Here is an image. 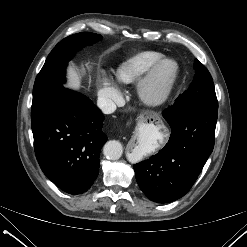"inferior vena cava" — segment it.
I'll return each instance as SVG.
<instances>
[{"label":"inferior vena cava","mask_w":247,"mask_h":247,"mask_svg":"<svg viewBox=\"0 0 247 247\" xmlns=\"http://www.w3.org/2000/svg\"><path fill=\"white\" fill-rule=\"evenodd\" d=\"M97 106L104 114H111L116 110V104L111 99L104 97L98 98Z\"/></svg>","instance_id":"obj_1"}]
</instances>
